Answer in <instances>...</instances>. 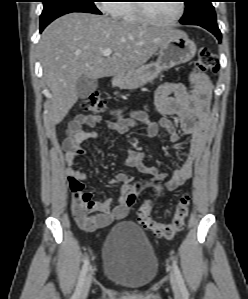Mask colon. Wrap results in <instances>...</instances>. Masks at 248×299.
<instances>
[{"label": "colon", "instance_id": "5ec220e1", "mask_svg": "<svg viewBox=\"0 0 248 299\" xmlns=\"http://www.w3.org/2000/svg\"><path fill=\"white\" fill-rule=\"evenodd\" d=\"M218 70L219 62L217 56L207 48L200 49L195 61V71L197 73L209 72L215 74ZM82 108L89 113H102L106 110L107 104L99 93L93 92L83 101ZM74 186L75 188L71 190V211L75 216H88L92 213V208L90 200L84 193V184L76 182ZM135 200L136 196L134 193H128L124 197V203L128 208L134 205ZM190 205V196L185 194L178 201L171 221L161 223L151 217L152 203L147 202L138 209V220L147 230L152 231L155 235L169 239L184 229Z\"/></svg>", "mask_w": 248, "mask_h": 299}]
</instances>
